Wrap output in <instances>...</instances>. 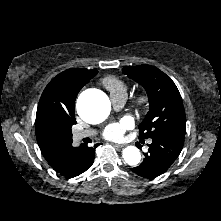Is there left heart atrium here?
Returning a JSON list of instances; mask_svg holds the SVG:
<instances>
[{"instance_id": "obj_1", "label": "left heart atrium", "mask_w": 221, "mask_h": 221, "mask_svg": "<svg viewBox=\"0 0 221 221\" xmlns=\"http://www.w3.org/2000/svg\"><path fill=\"white\" fill-rule=\"evenodd\" d=\"M129 119H122L107 126L104 131V137L110 140H120L125 131L131 127Z\"/></svg>"}]
</instances>
